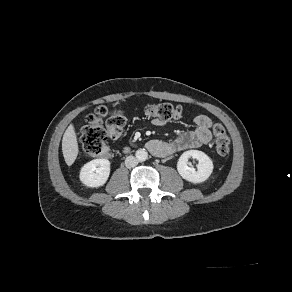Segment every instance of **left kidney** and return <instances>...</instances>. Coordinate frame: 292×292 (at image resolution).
<instances>
[{
	"instance_id": "1",
	"label": "left kidney",
	"mask_w": 292,
	"mask_h": 292,
	"mask_svg": "<svg viewBox=\"0 0 292 292\" xmlns=\"http://www.w3.org/2000/svg\"><path fill=\"white\" fill-rule=\"evenodd\" d=\"M189 158H194L198 161L197 171L190 166ZM177 170L183 179L192 183H201L211 175L213 162L202 151L188 150L180 156L177 162Z\"/></svg>"
}]
</instances>
